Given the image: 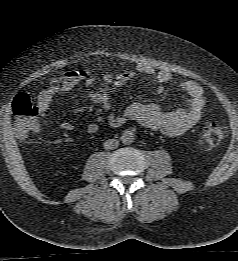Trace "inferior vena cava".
<instances>
[{"mask_svg":"<svg viewBox=\"0 0 238 261\" xmlns=\"http://www.w3.org/2000/svg\"><path fill=\"white\" fill-rule=\"evenodd\" d=\"M119 141L117 139H109L104 142V149L113 150L118 147Z\"/></svg>","mask_w":238,"mask_h":261,"instance_id":"602c4592","label":"inferior vena cava"}]
</instances>
